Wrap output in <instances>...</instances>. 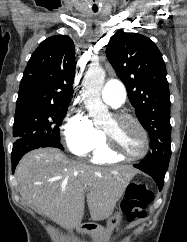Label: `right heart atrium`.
<instances>
[{
	"label": "right heart atrium",
	"mask_w": 187,
	"mask_h": 242,
	"mask_svg": "<svg viewBox=\"0 0 187 242\" xmlns=\"http://www.w3.org/2000/svg\"><path fill=\"white\" fill-rule=\"evenodd\" d=\"M63 135L67 148L77 156L88 155L103 142L101 131L78 109L72 110L67 115Z\"/></svg>",
	"instance_id": "obj_1"
}]
</instances>
